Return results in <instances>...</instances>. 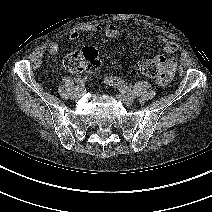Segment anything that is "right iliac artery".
Returning <instances> with one entry per match:
<instances>
[{
	"mask_svg": "<svg viewBox=\"0 0 212 212\" xmlns=\"http://www.w3.org/2000/svg\"><path fill=\"white\" fill-rule=\"evenodd\" d=\"M86 80H87V77H84L83 79L78 78L76 80L77 86L75 87L74 91L70 94L71 99L74 98L75 94L85 85Z\"/></svg>",
	"mask_w": 212,
	"mask_h": 212,
	"instance_id": "right-iliac-artery-1",
	"label": "right iliac artery"
}]
</instances>
